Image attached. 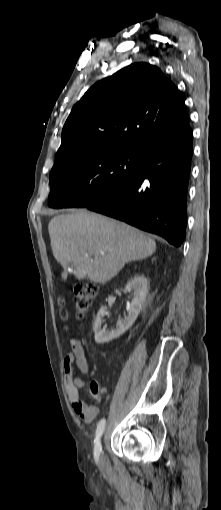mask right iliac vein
<instances>
[{
    "label": "right iliac vein",
    "instance_id": "obj_1",
    "mask_svg": "<svg viewBox=\"0 0 221 510\" xmlns=\"http://www.w3.org/2000/svg\"><path fill=\"white\" fill-rule=\"evenodd\" d=\"M100 463L103 464V458L102 457L100 458Z\"/></svg>",
    "mask_w": 221,
    "mask_h": 510
}]
</instances>
